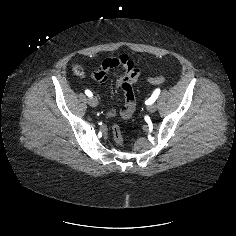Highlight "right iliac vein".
Segmentation results:
<instances>
[{
  "instance_id": "obj_1",
  "label": "right iliac vein",
  "mask_w": 236,
  "mask_h": 236,
  "mask_svg": "<svg viewBox=\"0 0 236 236\" xmlns=\"http://www.w3.org/2000/svg\"><path fill=\"white\" fill-rule=\"evenodd\" d=\"M88 104H89L91 107H97L98 101H97L96 98L90 97V98L88 99Z\"/></svg>"
}]
</instances>
